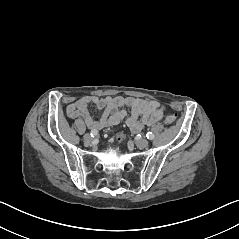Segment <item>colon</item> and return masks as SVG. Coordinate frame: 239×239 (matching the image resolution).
<instances>
[{
  "mask_svg": "<svg viewBox=\"0 0 239 239\" xmlns=\"http://www.w3.org/2000/svg\"><path fill=\"white\" fill-rule=\"evenodd\" d=\"M175 120H176V116L174 114H169L165 117V123L167 125L173 124L175 122ZM118 138L121 139L122 135H119Z\"/></svg>",
  "mask_w": 239,
  "mask_h": 239,
  "instance_id": "colon-1",
  "label": "colon"
}]
</instances>
